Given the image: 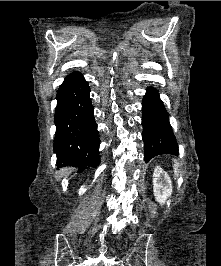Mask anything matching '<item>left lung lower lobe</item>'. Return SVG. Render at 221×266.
Returning a JSON list of instances; mask_svg holds the SVG:
<instances>
[{
	"label": "left lung lower lobe",
	"instance_id": "0a47b994",
	"mask_svg": "<svg viewBox=\"0 0 221 266\" xmlns=\"http://www.w3.org/2000/svg\"><path fill=\"white\" fill-rule=\"evenodd\" d=\"M142 113L145 162L160 154L178 155L167 110L153 87L147 89L143 98Z\"/></svg>",
	"mask_w": 221,
	"mask_h": 266
}]
</instances>
